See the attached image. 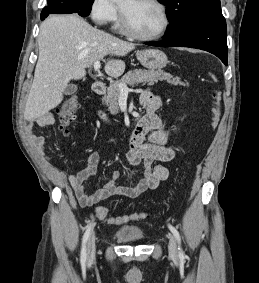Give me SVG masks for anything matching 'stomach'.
I'll return each mask as SVG.
<instances>
[{
  "instance_id": "stomach-1",
  "label": "stomach",
  "mask_w": 259,
  "mask_h": 283,
  "mask_svg": "<svg viewBox=\"0 0 259 283\" xmlns=\"http://www.w3.org/2000/svg\"><path fill=\"white\" fill-rule=\"evenodd\" d=\"M136 57L144 67L151 70L161 69L168 63L166 54L159 49L138 51Z\"/></svg>"
}]
</instances>
